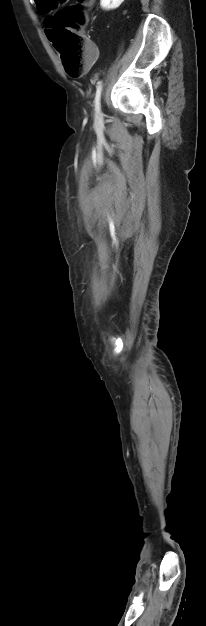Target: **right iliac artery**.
<instances>
[{"instance_id":"right-iliac-artery-1","label":"right iliac artery","mask_w":206,"mask_h":626,"mask_svg":"<svg viewBox=\"0 0 206 626\" xmlns=\"http://www.w3.org/2000/svg\"><path fill=\"white\" fill-rule=\"evenodd\" d=\"M101 91H102V86H101V83L99 82V83H98V86H97V90H96L95 101H94V102H95V109H96V112H99V111H100V97H101Z\"/></svg>"}]
</instances>
